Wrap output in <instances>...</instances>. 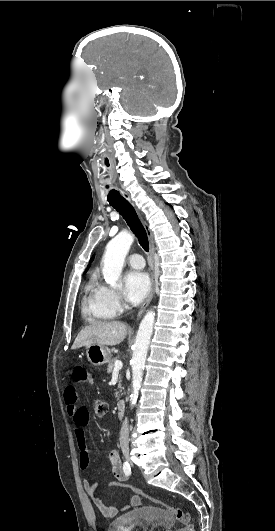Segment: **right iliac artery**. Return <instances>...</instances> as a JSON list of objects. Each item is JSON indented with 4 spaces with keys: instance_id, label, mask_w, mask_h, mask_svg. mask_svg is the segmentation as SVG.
I'll return each instance as SVG.
<instances>
[{
    "instance_id": "right-iliac-artery-1",
    "label": "right iliac artery",
    "mask_w": 275,
    "mask_h": 531,
    "mask_svg": "<svg viewBox=\"0 0 275 531\" xmlns=\"http://www.w3.org/2000/svg\"><path fill=\"white\" fill-rule=\"evenodd\" d=\"M123 471L125 473V475L129 476L131 474V467L129 465V463L127 461L124 462L123 464Z\"/></svg>"
}]
</instances>
